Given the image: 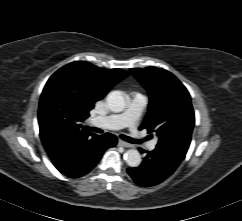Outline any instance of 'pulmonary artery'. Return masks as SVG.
Returning a JSON list of instances; mask_svg holds the SVG:
<instances>
[{"label": "pulmonary artery", "mask_w": 242, "mask_h": 221, "mask_svg": "<svg viewBox=\"0 0 242 221\" xmlns=\"http://www.w3.org/2000/svg\"><path fill=\"white\" fill-rule=\"evenodd\" d=\"M148 104V98L140 93H136L131 96L126 108L118 113L109 115L102 118H95L93 122L95 124H101L105 128L119 129L122 127H128L132 138L138 139L140 134L137 130V124L141 116L142 111ZM156 142L152 141L148 144V148L153 150Z\"/></svg>", "instance_id": "e3ab8cb5"}]
</instances>
